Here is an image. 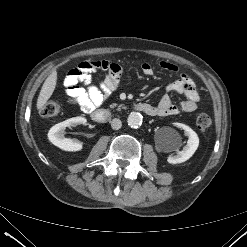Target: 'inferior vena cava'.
<instances>
[{"label": "inferior vena cava", "instance_id": "obj_1", "mask_svg": "<svg viewBox=\"0 0 247 247\" xmlns=\"http://www.w3.org/2000/svg\"><path fill=\"white\" fill-rule=\"evenodd\" d=\"M121 126H122V122H121L120 119L114 118V119L111 121V127H112V129L118 130V129L121 128Z\"/></svg>", "mask_w": 247, "mask_h": 247}]
</instances>
